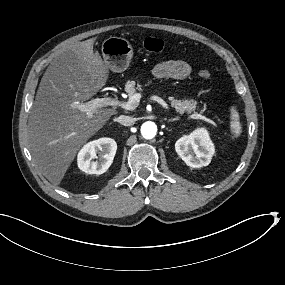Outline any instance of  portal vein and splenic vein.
Listing matches in <instances>:
<instances>
[{
    "label": "portal vein and splenic vein",
    "instance_id": "portal-vein-and-splenic-vein-1",
    "mask_svg": "<svg viewBox=\"0 0 285 285\" xmlns=\"http://www.w3.org/2000/svg\"><path fill=\"white\" fill-rule=\"evenodd\" d=\"M140 99H141L140 93H135L132 96H130L127 102H121L118 99L110 97L95 98L86 103L78 104L77 108L80 111L85 112L88 115V117H92L93 111H95L98 108L107 107V106H113V107L120 106L125 110H134L135 107L138 105ZM151 100L156 101L163 107H167L166 102L158 96L155 95L151 96ZM190 117L192 119H201V120L207 119L205 116H202L200 114H192Z\"/></svg>",
    "mask_w": 285,
    "mask_h": 285
}]
</instances>
